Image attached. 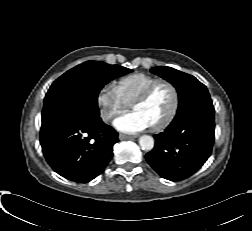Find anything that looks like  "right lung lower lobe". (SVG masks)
<instances>
[{"label":"right lung lower lobe","mask_w":252,"mask_h":231,"mask_svg":"<svg viewBox=\"0 0 252 231\" xmlns=\"http://www.w3.org/2000/svg\"><path fill=\"white\" fill-rule=\"evenodd\" d=\"M118 133L99 116L59 112L42 120L40 143L48 164L66 179L87 183L113 155Z\"/></svg>","instance_id":"right-lung-lower-lobe-1"}]
</instances>
